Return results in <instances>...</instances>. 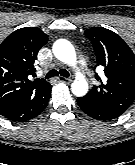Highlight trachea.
<instances>
[{
  "label": "trachea",
  "instance_id": "trachea-1",
  "mask_svg": "<svg viewBox=\"0 0 135 165\" xmlns=\"http://www.w3.org/2000/svg\"><path fill=\"white\" fill-rule=\"evenodd\" d=\"M61 75L63 77H66L68 78L69 77V72L65 69H60L59 71L55 70V69H52L50 70L47 75L45 76L46 79H49V78H52V77H55V76H58V75Z\"/></svg>",
  "mask_w": 135,
  "mask_h": 165
}]
</instances>
